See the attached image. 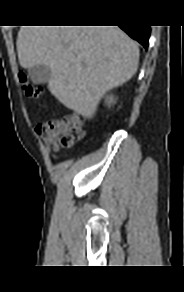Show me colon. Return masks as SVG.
Wrapping results in <instances>:
<instances>
[{"label": "colon", "mask_w": 184, "mask_h": 292, "mask_svg": "<svg viewBox=\"0 0 184 292\" xmlns=\"http://www.w3.org/2000/svg\"><path fill=\"white\" fill-rule=\"evenodd\" d=\"M19 79L26 96L39 99L42 88L29 83L24 73L19 74ZM38 136L54 151L69 148L84 137L83 121L76 114H69L59 118L48 119L36 127Z\"/></svg>", "instance_id": "obj_1"}]
</instances>
